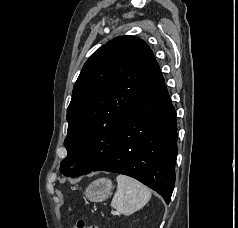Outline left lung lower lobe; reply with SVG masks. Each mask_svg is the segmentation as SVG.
Here are the masks:
<instances>
[{"mask_svg": "<svg viewBox=\"0 0 238 228\" xmlns=\"http://www.w3.org/2000/svg\"><path fill=\"white\" fill-rule=\"evenodd\" d=\"M176 156V112L156 62L118 133L113 154L90 172L131 176L158 192L168 203L174 189Z\"/></svg>", "mask_w": 238, "mask_h": 228, "instance_id": "0a47b994", "label": "left lung lower lobe"}]
</instances>
